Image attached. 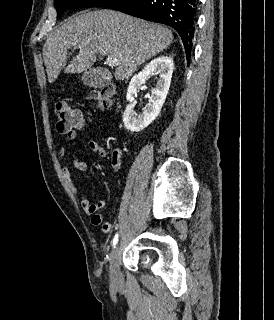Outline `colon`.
I'll return each instance as SVG.
<instances>
[{"label":"colon","instance_id":"colon-1","mask_svg":"<svg viewBox=\"0 0 274 320\" xmlns=\"http://www.w3.org/2000/svg\"><path fill=\"white\" fill-rule=\"evenodd\" d=\"M111 89L105 88L100 92L92 93L91 99L98 101L103 106H108ZM56 126L60 133L71 135L76 130V120H84L81 111L72 107L65 101H58L55 104Z\"/></svg>","mask_w":274,"mask_h":320}]
</instances>
